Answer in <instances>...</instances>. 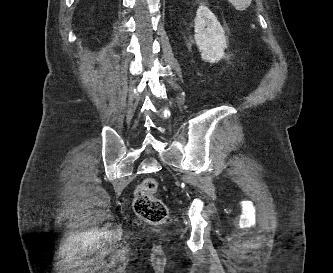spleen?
Instances as JSON below:
<instances>
[{
	"instance_id": "1",
	"label": "spleen",
	"mask_w": 333,
	"mask_h": 273,
	"mask_svg": "<svg viewBox=\"0 0 333 273\" xmlns=\"http://www.w3.org/2000/svg\"><path fill=\"white\" fill-rule=\"evenodd\" d=\"M237 10L243 11L248 8L252 0H228Z\"/></svg>"
}]
</instances>
